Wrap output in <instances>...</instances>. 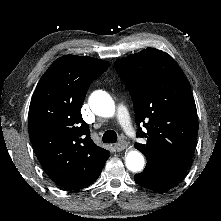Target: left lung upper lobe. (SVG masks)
<instances>
[{
	"instance_id": "left-lung-upper-lobe-1",
	"label": "left lung upper lobe",
	"mask_w": 221,
	"mask_h": 221,
	"mask_svg": "<svg viewBox=\"0 0 221 221\" xmlns=\"http://www.w3.org/2000/svg\"><path fill=\"white\" fill-rule=\"evenodd\" d=\"M115 68L133 100L137 136L135 143L147 159L145 167L186 171L198 133V117L190 84L167 53L147 48L117 60ZM140 125H143V131Z\"/></svg>"
}]
</instances>
